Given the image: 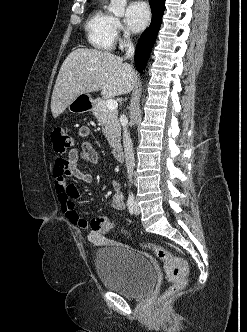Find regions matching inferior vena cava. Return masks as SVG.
Returning a JSON list of instances; mask_svg holds the SVG:
<instances>
[{
    "label": "inferior vena cava",
    "mask_w": 247,
    "mask_h": 332,
    "mask_svg": "<svg viewBox=\"0 0 247 332\" xmlns=\"http://www.w3.org/2000/svg\"><path fill=\"white\" fill-rule=\"evenodd\" d=\"M126 54L125 58L132 59L135 53V48L131 41L127 42L126 44ZM123 144H124V153H125V161H126V168L128 173V179L132 181L133 169L135 166L134 163V152H133V145L130 138V133L127 130V124H123Z\"/></svg>",
    "instance_id": "inferior-vena-cava-1"
}]
</instances>
